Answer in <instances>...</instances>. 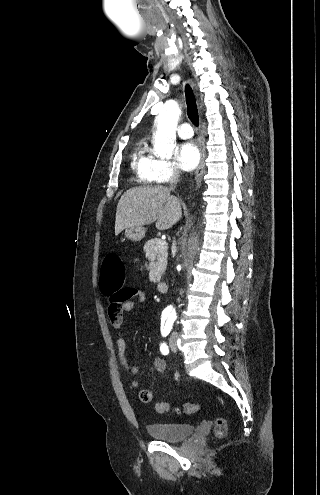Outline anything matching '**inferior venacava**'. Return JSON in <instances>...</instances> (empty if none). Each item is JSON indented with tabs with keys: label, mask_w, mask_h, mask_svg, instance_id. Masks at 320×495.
<instances>
[{
	"label": "inferior vena cava",
	"mask_w": 320,
	"mask_h": 495,
	"mask_svg": "<svg viewBox=\"0 0 320 495\" xmlns=\"http://www.w3.org/2000/svg\"><path fill=\"white\" fill-rule=\"evenodd\" d=\"M180 177V171L175 170L172 178L170 179V190H174L176 187V184L179 180Z\"/></svg>",
	"instance_id": "602c4592"
}]
</instances>
